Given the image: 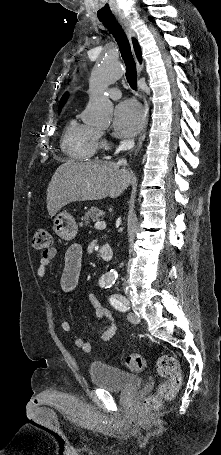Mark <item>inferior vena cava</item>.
I'll return each mask as SVG.
<instances>
[{
    "instance_id": "602c4592",
    "label": "inferior vena cava",
    "mask_w": 221,
    "mask_h": 455,
    "mask_svg": "<svg viewBox=\"0 0 221 455\" xmlns=\"http://www.w3.org/2000/svg\"><path fill=\"white\" fill-rule=\"evenodd\" d=\"M117 164L118 165H122V166H126L127 165V161H126V159H121V160L118 161Z\"/></svg>"
}]
</instances>
